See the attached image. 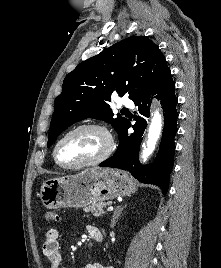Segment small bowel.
Segmentation results:
<instances>
[{"label":"small bowel","mask_w":221,"mask_h":268,"mask_svg":"<svg viewBox=\"0 0 221 268\" xmlns=\"http://www.w3.org/2000/svg\"><path fill=\"white\" fill-rule=\"evenodd\" d=\"M86 229L92 239H94L93 237L95 233L100 232V230L93 225H88ZM42 253L48 261V268H62L61 246L59 241V232L57 229L51 228L46 231L44 235ZM84 268H113V267L101 263H89L86 264Z\"/></svg>","instance_id":"c3829d8e"}]
</instances>
